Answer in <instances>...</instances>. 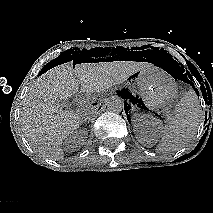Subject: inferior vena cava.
I'll use <instances>...</instances> for the list:
<instances>
[{
    "instance_id": "1",
    "label": "inferior vena cava",
    "mask_w": 213,
    "mask_h": 213,
    "mask_svg": "<svg viewBox=\"0 0 213 213\" xmlns=\"http://www.w3.org/2000/svg\"><path fill=\"white\" fill-rule=\"evenodd\" d=\"M96 115V110L94 107H92L91 105H86L83 108V113H82V118L84 120H90L91 118H93Z\"/></svg>"
}]
</instances>
